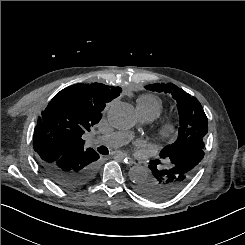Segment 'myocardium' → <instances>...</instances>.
I'll use <instances>...</instances> for the list:
<instances>
[{
	"label": "myocardium",
	"instance_id": "myocardium-1",
	"mask_svg": "<svg viewBox=\"0 0 245 245\" xmlns=\"http://www.w3.org/2000/svg\"><path fill=\"white\" fill-rule=\"evenodd\" d=\"M156 134L162 140H173L179 134L178 123L174 119H166L158 125Z\"/></svg>",
	"mask_w": 245,
	"mask_h": 245
}]
</instances>
